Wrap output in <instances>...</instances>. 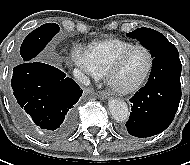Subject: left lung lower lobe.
Listing matches in <instances>:
<instances>
[{"label":"left lung lower lobe","instance_id":"1","mask_svg":"<svg viewBox=\"0 0 190 165\" xmlns=\"http://www.w3.org/2000/svg\"><path fill=\"white\" fill-rule=\"evenodd\" d=\"M182 65L176 47L154 57L146 85L130 99L133 103L125 130L135 137H150L173 121L181 99Z\"/></svg>","mask_w":190,"mask_h":165}]
</instances>
